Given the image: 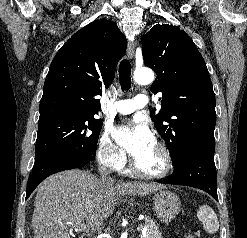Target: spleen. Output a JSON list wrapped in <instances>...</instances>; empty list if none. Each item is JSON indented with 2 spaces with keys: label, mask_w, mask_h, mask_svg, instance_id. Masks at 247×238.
I'll list each match as a JSON object with an SVG mask.
<instances>
[{
  "label": "spleen",
  "mask_w": 247,
  "mask_h": 238,
  "mask_svg": "<svg viewBox=\"0 0 247 238\" xmlns=\"http://www.w3.org/2000/svg\"><path fill=\"white\" fill-rule=\"evenodd\" d=\"M197 217L202 222L206 232L213 234L219 230L218 217L210 206L199 207Z\"/></svg>",
  "instance_id": "spleen-1"
}]
</instances>
